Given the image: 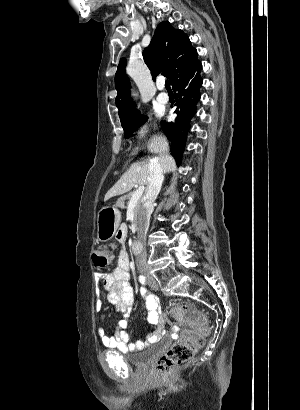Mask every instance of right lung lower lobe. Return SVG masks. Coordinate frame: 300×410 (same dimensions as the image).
<instances>
[{"label":"right lung lower lobe","instance_id":"1","mask_svg":"<svg viewBox=\"0 0 300 410\" xmlns=\"http://www.w3.org/2000/svg\"><path fill=\"white\" fill-rule=\"evenodd\" d=\"M202 64L197 59L192 66L180 74L171 84L175 92L174 108L175 119L172 122H161L166 136L171 141V152L179 163L185 147V140L191 128V120L197 111L200 100Z\"/></svg>","mask_w":300,"mask_h":410}]
</instances>
